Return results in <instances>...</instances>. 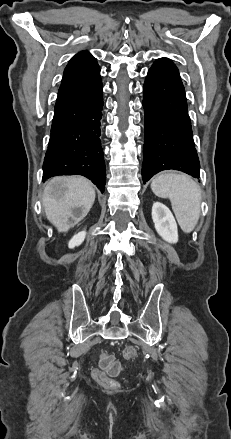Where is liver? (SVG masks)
<instances>
[{
	"label": "liver",
	"instance_id": "6515ba94",
	"mask_svg": "<svg viewBox=\"0 0 231 439\" xmlns=\"http://www.w3.org/2000/svg\"><path fill=\"white\" fill-rule=\"evenodd\" d=\"M95 201L93 184L81 176H60L48 180L42 197L47 219L59 232L83 219Z\"/></svg>",
	"mask_w": 231,
	"mask_h": 439
}]
</instances>
